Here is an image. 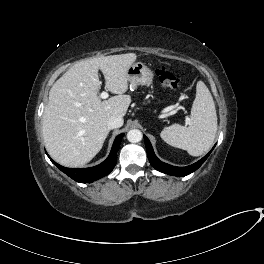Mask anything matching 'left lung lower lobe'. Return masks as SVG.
I'll return each instance as SVG.
<instances>
[{"instance_id":"1","label":"left lung lower lobe","mask_w":264,"mask_h":264,"mask_svg":"<svg viewBox=\"0 0 264 264\" xmlns=\"http://www.w3.org/2000/svg\"><path fill=\"white\" fill-rule=\"evenodd\" d=\"M144 140H145V145H146V151H147V156L148 159L151 163V165L158 171L169 174V175H174V176H178V177H183L186 175H189L190 173L196 171L204 162L205 160L208 158V156L210 155L211 151L204 156L201 160H199L198 162L186 166V167H175L172 165H169L167 163H164L162 161H160L152 148V145L150 143V141L148 140V138L144 135Z\"/></svg>"}]
</instances>
